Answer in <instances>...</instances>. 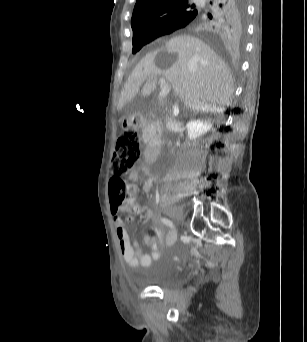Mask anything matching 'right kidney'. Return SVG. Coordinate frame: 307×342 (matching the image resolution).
<instances>
[{
  "label": "right kidney",
  "mask_w": 307,
  "mask_h": 342,
  "mask_svg": "<svg viewBox=\"0 0 307 342\" xmlns=\"http://www.w3.org/2000/svg\"><path fill=\"white\" fill-rule=\"evenodd\" d=\"M213 124L211 122H206V120H191L186 124L188 138L190 140H195V138H199L202 134H206L211 130Z\"/></svg>",
  "instance_id": "1"
}]
</instances>
